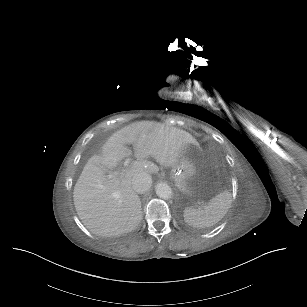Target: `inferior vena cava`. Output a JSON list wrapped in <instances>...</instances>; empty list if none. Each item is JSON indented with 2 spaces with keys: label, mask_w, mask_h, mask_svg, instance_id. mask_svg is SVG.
Returning a JSON list of instances; mask_svg holds the SVG:
<instances>
[{
  "label": "inferior vena cava",
  "mask_w": 307,
  "mask_h": 307,
  "mask_svg": "<svg viewBox=\"0 0 307 307\" xmlns=\"http://www.w3.org/2000/svg\"><path fill=\"white\" fill-rule=\"evenodd\" d=\"M152 186V178L147 173H139L132 178V189L139 194L147 192Z\"/></svg>",
  "instance_id": "inferior-vena-cava-1"
}]
</instances>
